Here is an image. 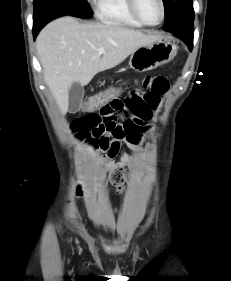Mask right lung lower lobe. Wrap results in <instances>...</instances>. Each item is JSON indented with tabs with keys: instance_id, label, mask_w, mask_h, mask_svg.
<instances>
[{
	"instance_id": "1",
	"label": "right lung lower lobe",
	"mask_w": 231,
	"mask_h": 281,
	"mask_svg": "<svg viewBox=\"0 0 231 281\" xmlns=\"http://www.w3.org/2000/svg\"><path fill=\"white\" fill-rule=\"evenodd\" d=\"M65 15L76 16L74 9L60 4L58 2H50L36 15L33 16V37L36 39L39 31L50 21Z\"/></svg>"
}]
</instances>
